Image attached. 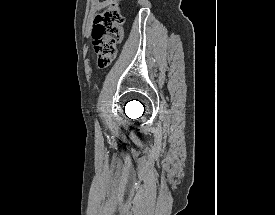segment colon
<instances>
[{
    "label": "colon",
    "instance_id": "1",
    "mask_svg": "<svg viewBox=\"0 0 275 215\" xmlns=\"http://www.w3.org/2000/svg\"><path fill=\"white\" fill-rule=\"evenodd\" d=\"M124 16L118 0H110L96 16L92 38L99 66H108L115 59L123 39Z\"/></svg>",
    "mask_w": 275,
    "mask_h": 215
}]
</instances>
